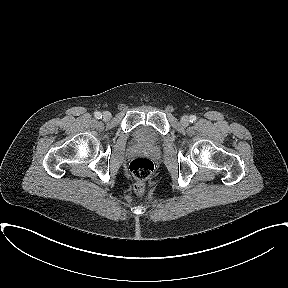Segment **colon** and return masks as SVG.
<instances>
[{
  "mask_svg": "<svg viewBox=\"0 0 288 288\" xmlns=\"http://www.w3.org/2000/svg\"><path fill=\"white\" fill-rule=\"evenodd\" d=\"M130 171L135 179L134 190L142 194L145 190L146 180L154 171L153 162L145 157H138L131 161Z\"/></svg>",
  "mask_w": 288,
  "mask_h": 288,
  "instance_id": "5ec220e1",
  "label": "colon"
}]
</instances>
